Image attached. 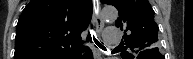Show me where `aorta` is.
<instances>
[{
	"label": "aorta",
	"instance_id": "762f6f07",
	"mask_svg": "<svg viewBox=\"0 0 193 59\" xmlns=\"http://www.w3.org/2000/svg\"><path fill=\"white\" fill-rule=\"evenodd\" d=\"M101 16L105 21L113 22L117 19L118 12L114 7H105L102 10Z\"/></svg>",
	"mask_w": 193,
	"mask_h": 59
}]
</instances>
